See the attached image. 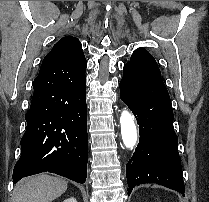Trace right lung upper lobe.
<instances>
[{"instance_id": "cb5924a9", "label": "right lung upper lobe", "mask_w": 209, "mask_h": 202, "mask_svg": "<svg viewBox=\"0 0 209 202\" xmlns=\"http://www.w3.org/2000/svg\"><path fill=\"white\" fill-rule=\"evenodd\" d=\"M45 58H54L59 61L54 70L65 76L79 79L85 75L87 61L81 43L75 37L66 36L61 38Z\"/></svg>"}]
</instances>
